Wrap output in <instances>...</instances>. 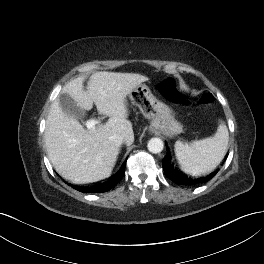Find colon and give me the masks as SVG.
Masks as SVG:
<instances>
[{
	"instance_id": "obj_1",
	"label": "colon",
	"mask_w": 264,
	"mask_h": 264,
	"mask_svg": "<svg viewBox=\"0 0 264 264\" xmlns=\"http://www.w3.org/2000/svg\"><path fill=\"white\" fill-rule=\"evenodd\" d=\"M161 94L167 99L174 102H185V98L178 89L177 83L174 79L168 78L160 85ZM213 102V95L209 92L204 93L199 97L196 104L198 106H206Z\"/></svg>"
}]
</instances>
